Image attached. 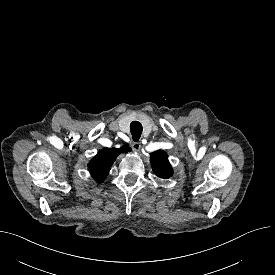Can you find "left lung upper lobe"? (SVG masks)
Here are the masks:
<instances>
[{
	"label": "left lung upper lobe",
	"instance_id": "1",
	"mask_svg": "<svg viewBox=\"0 0 275 275\" xmlns=\"http://www.w3.org/2000/svg\"><path fill=\"white\" fill-rule=\"evenodd\" d=\"M150 162L153 172L160 178L167 179L173 174L166 152L159 150L151 154Z\"/></svg>",
	"mask_w": 275,
	"mask_h": 275
}]
</instances>
